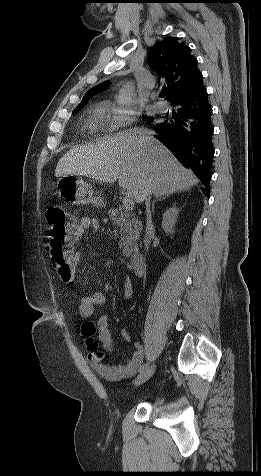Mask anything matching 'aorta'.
<instances>
[{"label":"aorta","mask_w":261,"mask_h":476,"mask_svg":"<svg viewBox=\"0 0 261 476\" xmlns=\"http://www.w3.org/2000/svg\"><path fill=\"white\" fill-rule=\"evenodd\" d=\"M132 100V92L129 89H126L120 95L121 103H129Z\"/></svg>","instance_id":"obj_1"}]
</instances>
